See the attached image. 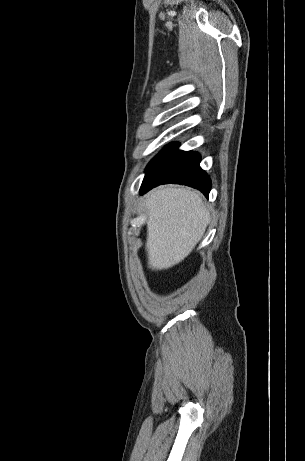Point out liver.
<instances>
[{"instance_id": "liver-1", "label": "liver", "mask_w": 305, "mask_h": 461, "mask_svg": "<svg viewBox=\"0 0 305 461\" xmlns=\"http://www.w3.org/2000/svg\"><path fill=\"white\" fill-rule=\"evenodd\" d=\"M148 265L163 270L182 262L201 240L210 216L200 195L187 187H158L145 199Z\"/></svg>"}]
</instances>
